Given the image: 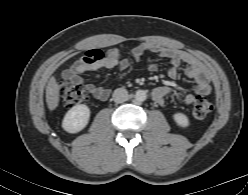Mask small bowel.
<instances>
[{
    "mask_svg": "<svg viewBox=\"0 0 248 195\" xmlns=\"http://www.w3.org/2000/svg\"><path fill=\"white\" fill-rule=\"evenodd\" d=\"M146 53H156L160 57L169 59L170 67L168 69V76L170 78H176L180 65L185 64V76L187 79L195 82V93L199 96L210 94L211 86L208 70L189 54L155 43H142L132 50L131 55L134 59L138 60ZM129 66V59L123 57L117 49H111L105 53L101 50L93 49L87 51L80 60L64 70L63 77L75 83L83 84L84 80L81 75L86 72L97 71L103 68H118L124 71ZM149 70L156 71L157 64L151 63ZM86 87L98 100H106L109 97L110 91L105 87L93 83H88ZM172 91V88L169 86H158L153 89V98L157 102L163 103L165 97L170 95ZM194 100L195 96L191 93L186 94L183 98L185 105H191Z\"/></svg>",
    "mask_w": 248,
    "mask_h": 195,
    "instance_id": "1",
    "label": "small bowel"
}]
</instances>
